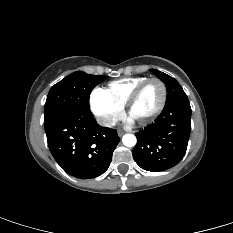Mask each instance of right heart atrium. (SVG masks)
Returning a JSON list of instances; mask_svg holds the SVG:
<instances>
[{
	"label": "right heart atrium",
	"mask_w": 233,
	"mask_h": 233,
	"mask_svg": "<svg viewBox=\"0 0 233 233\" xmlns=\"http://www.w3.org/2000/svg\"><path fill=\"white\" fill-rule=\"evenodd\" d=\"M90 109L104 127H112L123 115V107L113 102L103 89H94L89 98Z\"/></svg>",
	"instance_id": "d8ad5b80"
}]
</instances>
